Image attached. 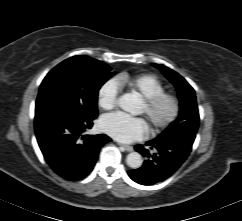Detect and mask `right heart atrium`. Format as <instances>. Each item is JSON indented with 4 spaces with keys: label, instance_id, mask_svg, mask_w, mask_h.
<instances>
[{
    "label": "right heart atrium",
    "instance_id": "right-heart-atrium-1",
    "mask_svg": "<svg viewBox=\"0 0 242 221\" xmlns=\"http://www.w3.org/2000/svg\"><path fill=\"white\" fill-rule=\"evenodd\" d=\"M120 87L115 79L104 82L98 90L97 101L100 108L104 110L112 109L118 102Z\"/></svg>",
    "mask_w": 242,
    "mask_h": 221
}]
</instances>
